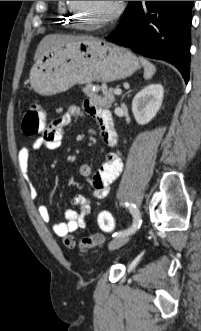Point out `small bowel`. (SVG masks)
<instances>
[{
  "mask_svg": "<svg viewBox=\"0 0 201 331\" xmlns=\"http://www.w3.org/2000/svg\"><path fill=\"white\" fill-rule=\"evenodd\" d=\"M84 116L96 119L101 138L107 146L116 145L117 134L109 110L99 107L91 101H85L82 108L76 105L70 106L63 115L48 124L43 135L35 139L31 146H25L19 150V168L29 183L30 195L33 198L38 196V190L31 180L32 152L39 149L52 151L60 148L64 139L65 128L73 119ZM122 169L123 163L120 156L111 151L106 153L103 164L95 174L92 173V169L88 164H82L79 167L80 176L89 183L92 189L91 197L76 195L72 203L78 207V210L67 209L64 213L65 221L52 224L53 232L63 240L66 247H76V239L73 233L85 227L86 217L91 211L92 198L106 197L110 184L118 178ZM38 211L43 221H51V213L47 205H40ZM80 249L85 250L86 248L80 246Z\"/></svg>",
  "mask_w": 201,
  "mask_h": 331,
  "instance_id": "obj_1",
  "label": "small bowel"
}]
</instances>
